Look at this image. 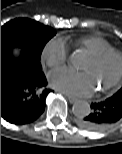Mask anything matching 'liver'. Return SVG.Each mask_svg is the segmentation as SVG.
<instances>
[{
    "label": "liver",
    "instance_id": "liver-1",
    "mask_svg": "<svg viewBox=\"0 0 122 154\" xmlns=\"http://www.w3.org/2000/svg\"><path fill=\"white\" fill-rule=\"evenodd\" d=\"M14 53H15V54H19V50H18V49H15V50H14Z\"/></svg>",
    "mask_w": 122,
    "mask_h": 154
}]
</instances>
